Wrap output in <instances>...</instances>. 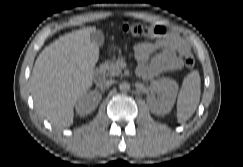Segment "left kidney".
<instances>
[{
  "label": "left kidney",
  "instance_id": "obj_1",
  "mask_svg": "<svg viewBox=\"0 0 243 167\" xmlns=\"http://www.w3.org/2000/svg\"><path fill=\"white\" fill-rule=\"evenodd\" d=\"M150 90L152 93H160L161 99L156 100L153 95L147 96V104L153 114L164 115L171 111L177 91L178 84L176 81L163 78L157 81H153L150 84Z\"/></svg>",
  "mask_w": 243,
  "mask_h": 167
}]
</instances>
